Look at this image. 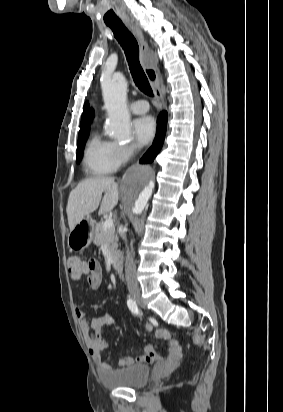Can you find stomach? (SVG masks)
I'll use <instances>...</instances> for the list:
<instances>
[{"mask_svg":"<svg viewBox=\"0 0 283 412\" xmlns=\"http://www.w3.org/2000/svg\"><path fill=\"white\" fill-rule=\"evenodd\" d=\"M94 224L89 219L80 221L68 235V246L71 250H83L87 248L93 239Z\"/></svg>","mask_w":283,"mask_h":412,"instance_id":"stomach-1","label":"stomach"}]
</instances>
